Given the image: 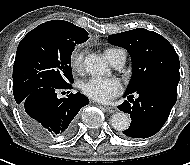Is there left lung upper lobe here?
Returning a JSON list of instances; mask_svg holds the SVG:
<instances>
[{"label": "left lung upper lobe", "mask_w": 190, "mask_h": 165, "mask_svg": "<svg viewBox=\"0 0 190 165\" xmlns=\"http://www.w3.org/2000/svg\"><path fill=\"white\" fill-rule=\"evenodd\" d=\"M108 42L125 48L132 60L133 73L126 93L161 78L180 80L179 57L161 35L137 28L108 36Z\"/></svg>", "instance_id": "obj_1"}]
</instances>
